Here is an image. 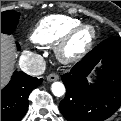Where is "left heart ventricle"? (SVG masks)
<instances>
[{
    "label": "left heart ventricle",
    "mask_w": 121,
    "mask_h": 121,
    "mask_svg": "<svg viewBox=\"0 0 121 121\" xmlns=\"http://www.w3.org/2000/svg\"><path fill=\"white\" fill-rule=\"evenodd\" d=\"M89 38H90L89 31L80 32L74 39L72 49L80 48L84 43H86L88 41Z\"/></svg>",
    "instance_id": "b2bd125f"
}]
</instances>
